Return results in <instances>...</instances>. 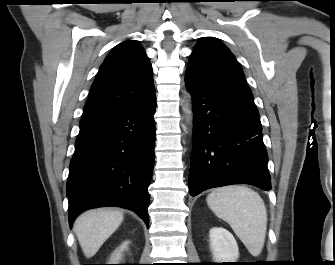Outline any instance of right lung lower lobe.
<instances>
[{
  "label": "right lung lower lobe",
  "mask_w": 335,
  "mask_h": 265,
  "mask_svg": "<svg viewBox=\"0 0 335 265\" xmlns=\"http://www.w3.org/2000/svg\"><path fill=\"white\" fill-rule=\"evenodd\" d=\"M155 97L126 109L83 116L67 180L69 223L84 210L119 206L149 226Z\"/></svg>",
  "instance_id": "1"
}]
</instances>
